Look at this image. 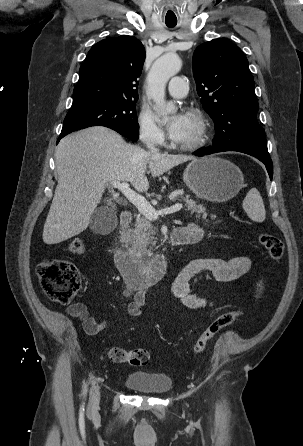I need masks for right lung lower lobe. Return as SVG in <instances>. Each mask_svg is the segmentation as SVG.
<instances>
[{"instance_id": "98d812e1", "label": "right lung lower lobe", "mask_w": 303, "mask_h": 446, "mask_svg": "<svg viewBox=\"0 0 303 446\" xmlns=\"http://www.w3.org/2000/svg\"><path fill=\"white\" fill-rule=\"evenodd\" d=\"M86 128V127H85ZM83 129V128H82ZM67 134H63V135H61L60 134V136H59V138H58V140H57V143L59 142V140L61 139V138H63L64 136H66Z\"/></svg>"}]
</instances>
